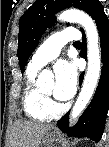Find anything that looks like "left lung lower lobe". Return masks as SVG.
Returning <instances> with one entry per match:
<instances>
[{
	"mask_svg": "<svg viewBox=\"0 0 109 147\" xmlns=\"http://www.w3.org/2000/svg\"><path fill=\"white\" fill-rule=\"evenodd\" d=\"M91 17L96 22L101 41L103 65L98 87L91 103L74 127L68 128L69 113L62 117L57 122V125L61 131H68V136L88 137L98 142L102 137L105 119L109 109V20L101 4L93 10ZM81 30L83 32V29ZM85 41V34L83 33L84 44ZM81 56L86 58V45L85 51L82 50ZM83 76L84 73L80 76V84L83 80Z\"/></svg>",
	"mask_w": 109,
	"mask_h": 147,
	"instance_id": "obj_1",
	"label": "left lung lower lobe"
}]
</instances>
